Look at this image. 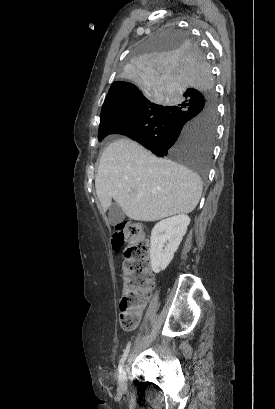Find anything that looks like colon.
I'll use <instances>...</instances> for the list:
<instances>
[{
    "mask_svg": "<svg viewBox=\"0 0 275 409\" xmlns=\"http://www.w3.org/2000/svg\"><path fill=\"white\" fill-rule=\"evenodd\" d=\"M111 244L125 249L118 322L122 330H135L153 286L150 240L141 223L124 221L115 226Z\"/></svg>",
    "mask_w": 275,
    "mask_h": 409,
    "instance_id": "colon-1",
    "label": "colon"
}]
</instances>
